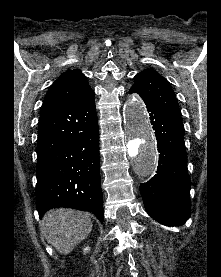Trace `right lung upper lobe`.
Listing matches in <instances>:
<instances>
[{
	"label": "right lung upper lobe",
	"instance_id": "cb5924a9",
	"mask_svg": "<svg viewBox=\"0 0 221 277\" xmlns=\"http://www.w3.org/2000/svg\"><path fill=\"white\" fill-rule=\"evenodd\" d=\"M91 91L84 74L78 70H69L51 85L45 96L43 106L73 101Z\"/></svg>",
	"mask_w": 221,
	"mask_h": 277
}]
</instances>
